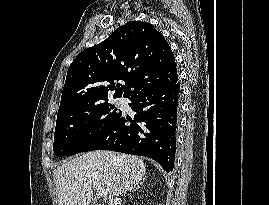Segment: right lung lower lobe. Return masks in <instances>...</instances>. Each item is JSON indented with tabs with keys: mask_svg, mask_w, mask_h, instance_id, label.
<instances>
[{
	"mask_svg": "<svg viewBox=\"0 0 269 205\" xmlns=\"http://www.w3.org/2000/svg\"><path fill=\"white\" fill-rule=\"evenodd\" d=\"M180 83L154 88L130 98L134 121L122 114L86 151L98 149L152 158L166 172L174 167ZM130 122V125L127 124Z\"/></svg>",
	"mask_w": 269,
	"mask_h": 205,
	"instance_id": "1",
	"label": "right lung lower lobe"
}]
</instances>
